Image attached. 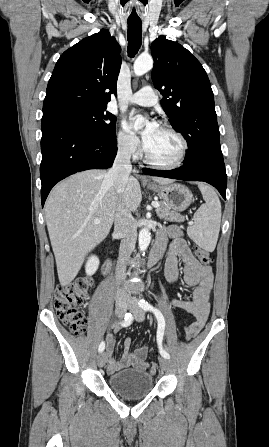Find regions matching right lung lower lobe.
I'll return each mask as SVG.
<instances>
[{"mask_svg":"<svg viewBox=\"0 0 269 447\" xmlns=\"http://www.w3.org/2000/svg\"><path fill=\"white\" fill-rule=\"evenodd\" d=\"M42 162L40 166L41 200L60 180L88 169L112 166L117 153L115 135H100L83 128L63 113L42 117Z\"/></svg>","mask_w":269,"mask_h":447,"instance_id":"1","label":"right lung lower lobe"}]
</instances>
